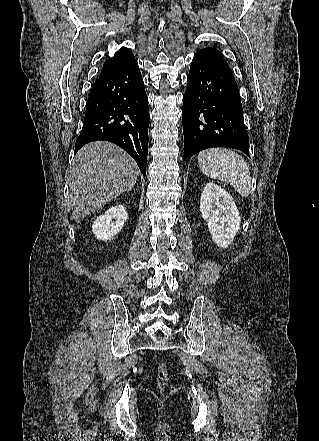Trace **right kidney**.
<instances>
[{
  "instance_id": "right-kidney-1",
  "label": "right kidney",
  "mask_w": 319,
  "mask_h": 441,
  "mask_svg": "<svg viewBox=\"0 0 319 441\" xmlns=\"http://www.w3.org/2000/svg\"><path fill=\"white\" fill-rule=\"evenodd\" d=\"M127 217L124 206L115 205L94 220L92 232L98 240L108 241L121 231Z\"/></svg>"
}]
</instances>
